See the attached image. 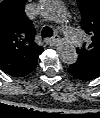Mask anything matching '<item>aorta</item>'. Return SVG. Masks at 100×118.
I'll return each instance as SVG.
<instances>
[{"label": "aorta", "mask_w": 100, "mask_h": 118, "mask_svg": "<svg viewBox=\"0 0 100 118\" xmlns=\"http://www.w3.org/2000/svg\"><path fill=\"white\" fill-rule=\"evenodd\" d=\"M40 9L43 16L55 22H62L66 19L60 0H41ZM57 53L62 62L66 64L75 63L78 57L75 47L68 41L59 42Z\"/></svg>", "instance_id": "aorta-1"}]
</instances>
